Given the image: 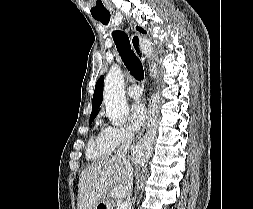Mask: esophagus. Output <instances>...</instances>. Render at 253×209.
I'll list each match as a JSON object with an SVG mask.
<instances>
[{"label":"esophagus","mask_w":253,"mask_h":209,"mask_svg":"<svg viewBox=\"0 0 253 209\" xmlns=\"http://www.w3.org/2000/svg\"><path fill=\"white\" fill-rule=\"evenodd\" d=\"M140 40H141L140 36L137 35V34H133L131 36V42H132V46H133L134 50H136L137 46H138L137 49L140 48ZM154 122H155V105L150 100L149 101V105H148V118H147V122H146L145 126L143 127L142 131L140 132V134L138 135V137L136 139V142L139 141L144 136V134L146 133V131L154 125ZM133 154H134V148L132 146L131 147V156H133Z\"/></svg>","instance_id":"esophagus-1"}]
</instances>
